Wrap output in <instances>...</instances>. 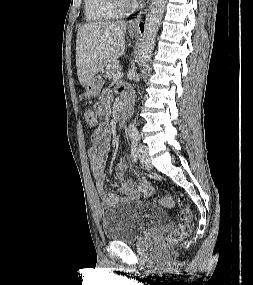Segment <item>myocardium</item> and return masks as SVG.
<instances>
[{
    "label": "myocardium",
    "mask_w": 253,
    "mask_h": 285,
    "mask_svg": "<svg viewBox=\"0 0 253 285\" xmlns=\"http://www.w3.org/2000/svg\"><path fill=\"white\" fill-rule=\"evenodd\" d=\"M113 7L119 14H125L135 8L133 2L127 3L125 0H111Z\"/></svg>",
    "instance_id": "1"
}]
</instances>
